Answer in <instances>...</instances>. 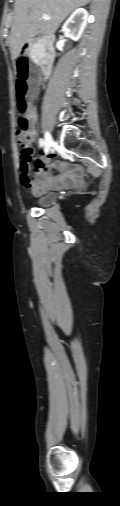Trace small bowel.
Masks as SVG:
<instances>
[{
    "instance_id": "small-bowel-1",
    "label": "small bowel",
    "mask_w": 120,
    "mask_h": 506,
    "mask_svg": "<svg viewBox=\"0 0 120 506\" xmlns=\"http://www.w3.org/2000/svg\"><path fill=\"white\" fill-rule=\"evenodd\" d=\"M38 91V84L33 85L32 93H31V99L34 98L35 94ZM30 115L32 123H35L37 119L36 112L33 108L30 109ZM32 134L33 138H35L36 131L32 128ZM53 168L63 171L61 176H55L51 173V170L49 167H47L43 161V158H38L34 165L33 169L36 174V179L31 180L29 171H30V163L28 165V170L26 173H21V184L24 188L31 189L32 193L35 195H39L47 191L48 189L52 188H59V189H71L79 187L82 183V179L80 176V169L74 168L70 171H65L67 168V164L55 160L52 165Z\"/></svg>"
}]
</instances>
